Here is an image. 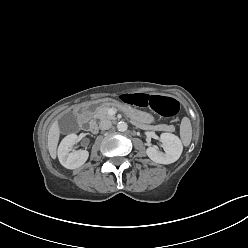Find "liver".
I'll return each mask as SVG.
<instances>
[{
    "label": "liver",
    "mask_w": 248,
    "mask_h": 248,
    "mask_svg": "<svg viewBox=\"0 0 248 248\" xmlns=\"http://www.w3.org/2000/svg\"><path fill=\"white\" fill-rule=\"evenodd\" d=\"M59 137H60V128L58 125V122L55 121L50 129H49V133H48V150L50 153V156L55 159L56 155H57V145L59 142Z\"/></svg>",
    "instance_id": "liver-1"
}]
</instances>
